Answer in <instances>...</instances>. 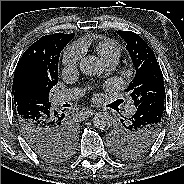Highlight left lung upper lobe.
Listing matches in <instances>:
<instances>
[{
  "label": "left lung upper lobe",
  "instance_id": "1",
  "mask_svg": "<svg viewBox=\"0 0 184 184\" xmlns=\"http://www.w3.org/2000/svg\"><path fill=\"white\" fill-rule=\"evenodd\" d=\"M118 34L126 41V49L136 70L127 88L135 107L157 95H165L160 66L147 43L131 31H118ZM161 126L162 119L143 126H135L129 120L121 119L109 133L113 152L123 159L143 154L153 145Z\"/></svg>",
  "mask_w": 184,
  "mask_h": 184
}]
</instances>
